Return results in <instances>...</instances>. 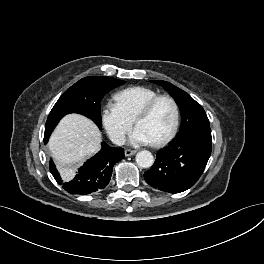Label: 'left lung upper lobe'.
Returning <instances> with one entry per match:
<instances>
[{
    "label": "left lung upper lobe",
    "instance_id": "obj_1",
    "mask_svg": "<svg viewBox=\"0 0 264 264\" xmlns=\"http://www.w3.org/2000/svg\"><path fill=\"white\" fill-rule=\"evenodd\" d=\"M153 82L164 87L179 106L182 123L177 137L187 136L198 129L210 128L204 109L189 94L169 82Z\"/></svg>",
    "mask_w": 264,
    "mask_h": 264
}]
</instances>
